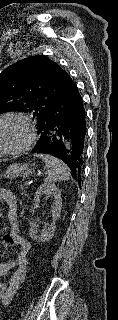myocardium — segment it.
<instances>
[{
    "label": "myocardium",
    "instance_id": "f54148a6",
    "mask_svg": "<svg viewBox=\"0 0 118 320\" xmlns=\"http://www.w3.org/2000/svg\"><path fill=\"white\" fill-rule=\"evenodd\" d=\"M6 132L10 138L6 146L0 144V155L25 150L33 140L29 124L20 117L0 119V133Z\"/></svg>",
    "mask_w": 118,
    "mask_h": 320
}]
</instances>
